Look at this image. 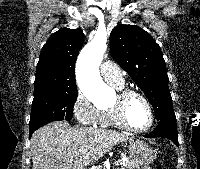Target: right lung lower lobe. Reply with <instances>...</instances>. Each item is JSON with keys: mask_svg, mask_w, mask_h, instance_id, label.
<instances>
[{"mask_svg": "<svg viewBox=\"0 0 200 169\" xmlns=\"http://www.w3.org/2000/svg\"><path fill=\"white\" fill-rule=\"evenodd\" d=\"M50 122H52V121H50ZM47 123H49V122L36 123V124L30 126L29 137L32 136V134H33V132H34L35 130H37L38 128L44 126V125L47 124Z\"/></svg>", "mask_w": 200, "mask_h": 169, "instance_id": "1", "label": "right lung lower lobe"}]
</instances>
